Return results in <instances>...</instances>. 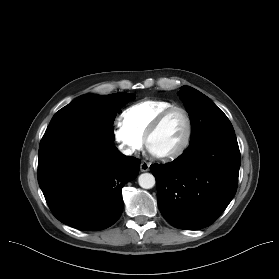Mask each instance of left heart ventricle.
Masks as SVG:
<instances>
[{"label":"left heart ventricle","mask_w":279,"mask_h":279,"mask_svg":"<svg viewBox=\"0 0 279 279\" xmlns=\"http://www.w3.org/2000/svg\"><path fill=\"white\" fill-rule=\"evenodd\" d=\"M185 133L186 120L184 115L180 111H173L150 139V148L157 154L172 151L183 141Z\"/></svg>","instance_id":"1"}]
</instances>
